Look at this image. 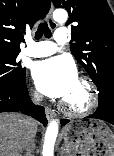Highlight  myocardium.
<instances>
[{
    "label": "myocardium",
    "mask_w": 114,
    "mask_h": 156,
    "mask_svg": "<svg viewBox=\"0 0 114 156\" xmlns=\"http://www.w3.org/2000/svg\"><path fill=\"white\" fill-rule=\"evenodd\" d=\"M78 82L86 88L88 100L86 105L80 108H74L66 100H63L61 102L62 110L71 117H80L91 113L99 102L97 88L90 79L87 77H80Z\"/></svg>",
    "instance_id": "obj_1"
}]
</instances>
